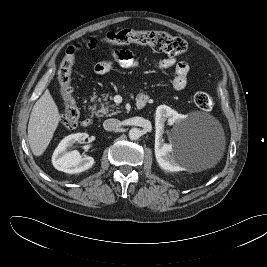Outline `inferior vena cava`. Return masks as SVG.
Returning <instances> with one entry per match:
<instances>
[{"label": "inferior vena cava", "mask_w": 267, "mask_h": 267, "mask_svg": "<svg viewBox=\"0 0 267 267\" xmlns=\"http://www.w3.org/2000/svg\"><path fill=\"white\" fill-rule=\"evenodd\" d=\"M121 126V122L118 119L110 118L104 121L103 127L107 131H113Z\"/></svg>", "instance_id": "obj_1"}]
</instances>
